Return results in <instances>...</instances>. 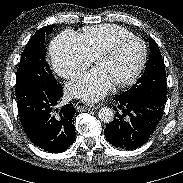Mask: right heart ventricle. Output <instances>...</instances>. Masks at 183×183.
<instances>
[{"label": "right heart ventricle", "instance_id": "obj_1", "mask_svg": "<svg viewBox=\"0 0 183 183\" xmlns=\"http://www.w3.org/2000/svg\"><path fill=\"white\" fill-rule=\"evenodd\" d=\"M131 35L133 34L123 27L105 24L85 28L79 38L87 55L94 59L100 51L115 40Z\"/></svg>", "mask_w": 183, "mask_h": 183}]
</instances>
